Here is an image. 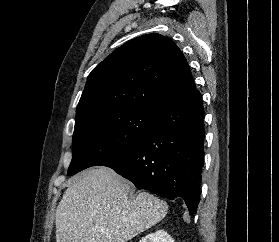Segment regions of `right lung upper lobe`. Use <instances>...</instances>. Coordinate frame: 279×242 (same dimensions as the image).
Wrapping results in <instances>:
<instances>
[{"label": "right lung upper lobe", "instance_id": "obj_1", "mask_svg": "<svg viewBox=\"0 0 279 242\" xmlns=\"http://www.w3.org/2000/svg\"><path fill=\"white\" fill-rule=\"evenodd\" d=\"M181 50L168 37L135 38L104 59L89 74L76 117L102 111H160L200 97Z\"/></svg>", "mask_w": 279, "mask_h": 242}]
</instances>
